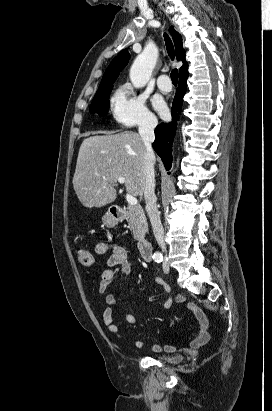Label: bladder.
<instances>
[{
    "label": "bladder",
    "mask_w": 272,
    "mask_h": 411,
    "mask_svg": "<svg viewBox=\"0 0 272 411\" xmlns=\"http://www.w3.org/2000/svg\"><path fill=\"white\" fill-rule=\"evenodd\" d=\"M160 361L167 363V364H178L182 361L183 357L178 354L174 355H159L157 357Z\"/></svg>",
    "instance_id": "1"
}]
</instances>
